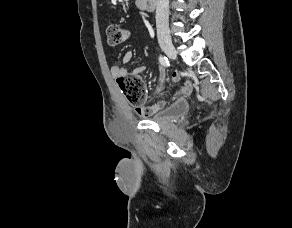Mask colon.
<instances>
[{
    "label": "colon",
    "instance_id": "5ec220e1",
    "mask_svg": "<svg viewBox=\"0 0 292 228\" xmlns=\"http://www.w3.org/2000/svg\"><path fill=\"white\" fill-rule=\"evenodd\" d=\"M107 41L117 46L127 41L128 30L120 24H109L106 29ZM117 83L128 102L135 108H141L145 101V88L141 78L135 74H126L117 78Z\"/></svg>",
    "mask_w": 292,
    "mask_h": 228
}]
</instances>
